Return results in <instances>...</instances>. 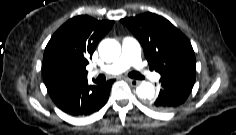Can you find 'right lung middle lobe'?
<instances>
[{
  "instance_id": "1",
  "label": "right lung middle lobe",
  "mask_w": 236,
  "mask_h": 135,
  "mask_svg": "<svg viewBox=\"0 0 236 135\" xmlns=\"http://www.w3.org/2000/svg\"><path fill=\"white\" fill-rule=\"evenodd\" d=\"M53 67L54 68H59V69H62V70H67V71L72 72L74 74H78L75 71H73L72 68H70L69 66L64 65L62 63H56Z\"/></svg>"
}]
</instances>
